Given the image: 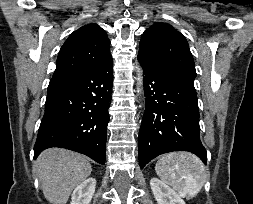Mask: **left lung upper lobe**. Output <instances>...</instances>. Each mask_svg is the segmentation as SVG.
I'll return each mask as SVG.
<instances>
[{
    "mask_svg": "<svg viewBox=\"0 0 253 204\" xmlns=\"http://www.w3.org/2000/svg\"><path fill=\"white\" fill-rule=\"evenodd\" d=\"M138 57L182 79L193 82L196 77L187 40L169 24L155 23L142 34Z\"/></svg>",
    "mask_w": 253,
    "mask_h": 204,
    "instance_id": "5c2ea615",
    "label": "left lung upper lobe"
}]
</instances>
